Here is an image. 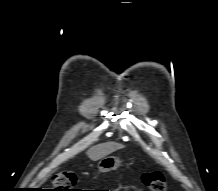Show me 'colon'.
<instances>
[{
  "instance_id": "1",
  "label": "colon",
  "mask_w": 218,
  "mask_h": 191,
  "mask_svg": "<svg viewBox=\"0 0 218 191\" xmlns=\"http://www.w3.org/2000/svg\"><path fill=\"white\" fill-rule=\"evenodd\" d=\"M77 176L72 171H64L54 178L56 191H79L74 188ZM142 182L149 191H166V180L164 175L158 171L146 172L142 175Z\"/></svg>"
}]
</instances>
